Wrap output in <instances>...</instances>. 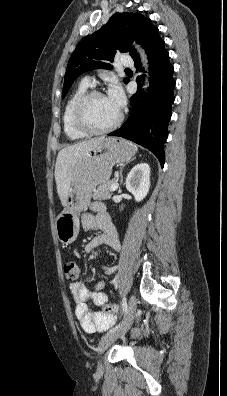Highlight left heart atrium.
Returning a JSON list of instances; mask_svg holds the SVG:
<instances>
[{"mask_svg": "<svg viewBox=\"0 0 227 396\" xmlns=\"http://www.w3.org/2000/svg\"><path fill=\"white\" fill-rule=\"evenodd\" d=\"M106 98L118 111H120L125 104V96L122 89L117 84H114L110 87Z\"/></svg>", "mask_w": 227, "mask_h": 396, "instance_id": "obj_1", "label": "left heart atrium"}]
</instances>
